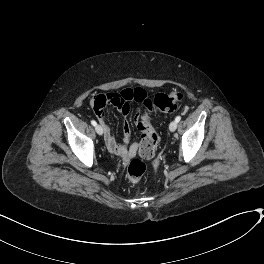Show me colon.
I'll use <instances>...</instances> for the list:
<instances>
[{
    "mask_svg": "<svg viewBox=\"0 0 264 264\" xmlns=\"http://www.w3.org/2000/svg\"><path fill=\"white\" fill-rule=\"evenodd\" d=\"M135 99L143 102L144 98L140 91L135 93ZM183 100V94L174 92L172 94H158L153 99L145 102L146 112L137 122V128L142 132V139L140 142L139 153L144 159H151L155 155L156 147L159 142V136L153 129L150 123V116L152 113L170 112L177 108L178 104ZM146 164L139 159H134L130 162L127 168V179L130 182L140 181L145 172Z\"/></svg>",
    "mask_w": 264,
    "mask_h": 264,
    "instance_id": "5ec220e1",
    "label": "colon"
}]
</instances>
